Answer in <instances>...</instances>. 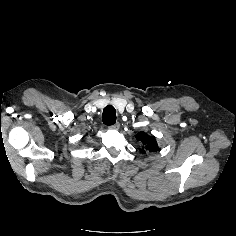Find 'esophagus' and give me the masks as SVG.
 Wrapping results in <instances>:
<instances>
[{
    "mask_svg": "<svg viewBox=\"0 0 236 236\" xmlns=\"http://www.w3.org/2000/svg\"><path fill=\"white\" fill-rule=\"evenodd\" d=\"M120 127V123L119 122H116L114 125H112L110 128L111 129H114V130H118Z\"/></svg>",
    "mask_w": 236,
    "mask_h": 236,
    "instance_id": "34e87169",
    "label": "esophagus"
}]
</instances>
